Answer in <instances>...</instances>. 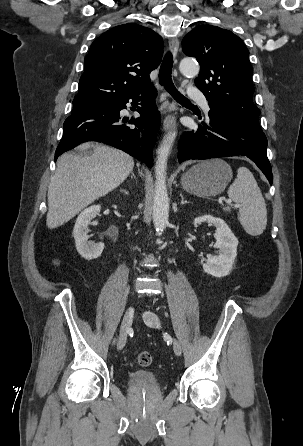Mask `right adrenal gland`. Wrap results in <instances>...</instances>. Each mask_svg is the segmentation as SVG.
Instances as JSON below:
<instances>
[{
    "label": "right adrenal gland",
    "mask_w": 303,
    "mask_h": 446,
    "mask_svg": "<svg viewBox=\"0 0 303 446\" xmlns=\"http://www.w3.org/2000/svg\"><path fill=\"white\" fill-rule=\"evenodd\" d=\"M131 178L133 179H135V175H134V173H131ZM122 192L124 193V194H126V195H129V192L127 191V190H122Z\"/></svg>",
    "instance_id": "1"
}]
</instances>
